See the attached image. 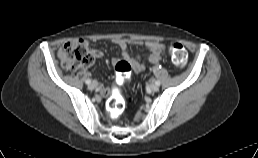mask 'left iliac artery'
Segmentation results:
<instances>
[{"label": "left iliac artery", "mask_w": 258, "mask_h": 158, "mask_svg": "<svg viewBox=\"0 0 258 158\" xmlns=\"http://www.w3.org/2000/svg\"><path fill=\"white\" fill-rule=\"evenodd\" d=\"M155 84L160 85V81H158V80L155 81Z\"/></svg>", "instance_id": "1"}]
</instances>
